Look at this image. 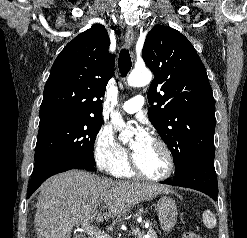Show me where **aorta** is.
I'll list each match as a JSON object with an SVG mask.
<instances>
[{"label":"aorta","mask_w":247,"mask_h":238,"mask_svg":"<svg viewBox=\"0 0 247 238\" xmlns=\"http://www.w3.org/2000/svg\"><path fill=\"white\" fill-rule=\"evenodd\" d=\"M152 80V74L147 69L142 70H133L131 74L128 76L127 82L131 87H140L149 84ZM112 123L121 130L120 139L123 143H126L133 136V132L129 129L122 130L125 126V123L121 117V115L116 112L112 115Z\"/></svg>","instance_id":"1"}]
</instances>
